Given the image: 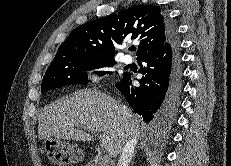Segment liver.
<instances>
[{
    "label": "liver",
    "mask_w": 231,
    "mask_h": 166,
    "mask_svg": "<svg viewBox=\"0 0 231 166\" xmlns=\"http://www.w3.org/2000/svg\"><path fill=\"white\" fill-rule=\"evenodd\" d=\"M90 132L103 133L100 145L113 158L121 154L130 138L142 137L138 121L125 114L118 101L96 90H79L44 107L38 116L41 140L56 137L90 142L93 140Z\"/></svg>",
    "instance_id": "liver-1"
}]
</instances>
